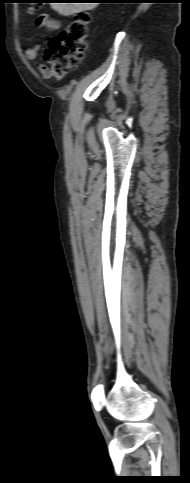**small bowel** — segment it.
Wrapping results in <instances>:
<instances>
[{
	"mask_svg": "<svg viewBox=\"0 0 190 483\" xmlns=\"http://www.w3.org/2000/svg\"><path fill=\"white\" fill-rule=\"evenodd\" d=\"M36 24L46 30L55 31L60 27L59 21L53 19L48 13H42L38 16ZM40 51V44L33 43L26 49V57L28 59H36ZM39 68L43 72L44 76H48L45 72L46 65L43 62L39 63Z\"/></svg>",
	"mask_w": 190,
	"mask_h": 483,
	"instance_id": "c3829d8e",
	"label": "small bowel"
}]
</instances>
